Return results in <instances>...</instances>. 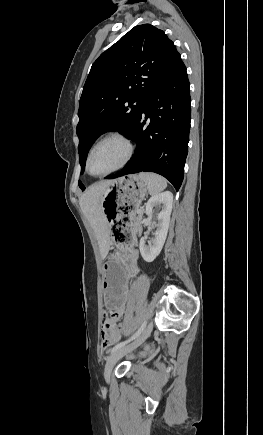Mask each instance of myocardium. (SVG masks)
I'll use <instances>...</instances> for the list:
<instances>
[{"instance_id":"1","label":"myocardium","mask_w":263,"mask_h":435,"mask_svg":"<svg viewBox=\"0 0 263 435\" xmlns=\"http://www.w3.org/2000/svg\"><path fill=\"white\" fill-rule=\"evenodd\" d=\"M108 140H116V141H119L120 143H122L124 145V147L126 149L125 158L122 161V163L120 165H118L117 167H115L114 169H112V170H110V171H108L106 173H103V174H98V175L97 174H93L90 171V167H89V162H90L91 155H92L93 151L95 150V148L99 144H101V143H103L105 141H108ZM134 152H135V146H134L132 140L129 139L127 136H125V135H123L121 133H116V132L106 134V135L102 136L101 138H99L92 145V147L90 148V150H89V152L87 154V157H86V163H85L86 171H87V173L89 175H91L93 177H105V176H108V175L113 174V173L121 170L122 168H124L130 162V160L132 159V157L134 155Z\"/></svg>"}]
</instances>
